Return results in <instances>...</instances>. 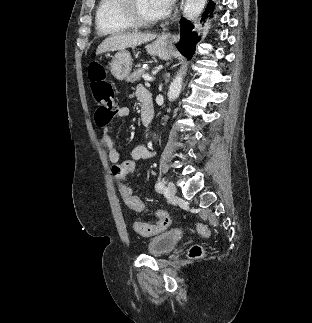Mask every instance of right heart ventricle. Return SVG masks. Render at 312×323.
<instances>
[{
  "mask_svg": "<svg viewBox=\"0 0 312 323\" xmlns=\"http://www.w3.org/2000/svg\"><path fill=\"white\" fill-rule=\"evenodd\" d=\"M94 9V25L99 33H116L117 29H132L130 18H126V11L121 1L97 0Z\"/></svg>",
  "mask_w": 312,
  "mask_h": 323,
  "instance_id": "obj_1",
  "label": "right heart ventricle"
}]
</instances>
